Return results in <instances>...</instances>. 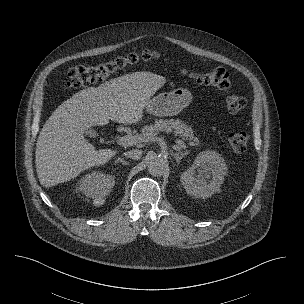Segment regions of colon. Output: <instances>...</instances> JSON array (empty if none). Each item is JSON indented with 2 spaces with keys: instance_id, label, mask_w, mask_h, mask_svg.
I'll use <instances>...</instances> for the list:
<instances>
[{
  "instance_id": "1",
  "label": "colon",
  "mask_w": 304,
  "mask_h": 304,
  "mask_svg": "<svg viewBox=\"0 0 304 304\" xmlns=\"http://www.w3.org/2000/svg\"><path fill=\"white\" fill-rule=\"evenodd\" d=\"M158 55L150 50L139 53H130L114 60L89 66H76L71 68L65 75V87L68 89L80 88L93 83L101 82L116 72L134 65L140 61H148ZM197 83L215 87L227 91L231 86L229 72L223 67H217L206 71H184ZM225 106L229 113H237L246 106L244 97L229 94L225 98ZM230 147L237 153H243L247 149L248 135L243 131L231 132L228 135Z\"/></svg>"
}]
</instances>
